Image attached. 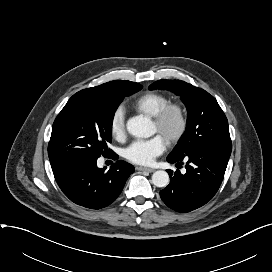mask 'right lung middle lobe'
I'll list each match as a JSON object with an SVG mask.
<instances>
[{
    "label": "right lung middle lobe",
    "mask_w": 272,
    "mask_h": 272,
    "mask_svg": "<svg viewBox=\"0 0 272 272\" xmlns=\"http://www.w3.org/2000/svg\"><path fill=\"white\" fill-rule=\"evenodd\" d=\"M141 88L129 81L125 90L113 98L71 97L53 123L48 144L51 165L66 159L107 156L115 111L125 96Z\"/></svg>",
    "instance_id": "obj_1"
}]
</instances>
